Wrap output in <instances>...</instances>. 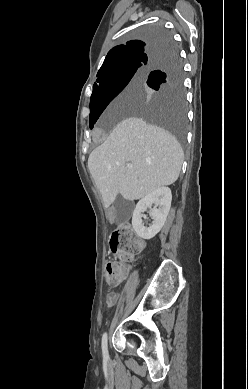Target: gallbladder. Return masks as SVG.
Instances as JSON below:
<instances>
[{
    "mask_svg": "<svg viewBox=\"0 0 248 389\" xmlns=\"http://www.w3.org/2000/svg\"><path fill=\"white\" fill-rule=\"evenodd\" d=\"M114 205L118 209L117 219L118 222L124 221L129 215V210L131 208V203L125 200L122 196H118L115 199Z\"/></svg>",
    "mask_w": 248,
    "mask_h": 389,
    "instance_id": "obj_1",
    "label": "gallbladder"
}]
</instances>
